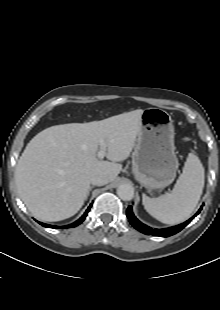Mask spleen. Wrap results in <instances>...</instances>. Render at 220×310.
Returning a JSON list of instances; mask_svg holds the SVG:
<instances>
[{
	"mask_svg": "<svg viewBox=\"0 0 220 310\" xmlns=\"http://www.w3.org/2000/svg\"><path fill=\"white\" fill-rule=\"evenodd\" d=\"M204 168L194 153H189L183 172L171 193L158 198L143 195L145 210L165 224H178L189 218L197 206L204 187Z\"/></svg>",
	"mask_w": 220,
	"mask_h": 310,
	"instance_id": "1",
	"label": "spleen"
}]
</instances>
